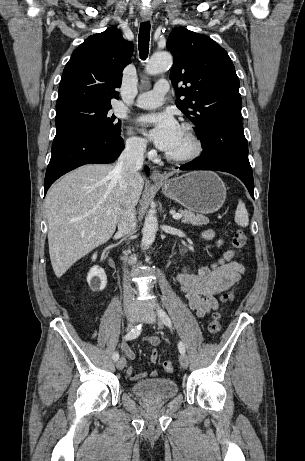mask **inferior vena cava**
<instances>
[{"mask_svg":"<svg viewBox=\"0 0 305 461\" xmlns=\"http://www.w3.org/2000/svg\"><path fill=\"white\" fill-rule=\"evenodd\" d=\"M145 147L144 143L127 144L114 169L122 190L117 217L118 232L125 236L132 235L136 229V211L130 195V188L134 178L139 175L138 171L143 166ZM123 290L125 307H136L137 302L126 275L124 276Z\"/></svg>","mask_w":305,"mask_h":461,"instance_id":"602c4592","label":"inferior vena cava"}]
</instances>
